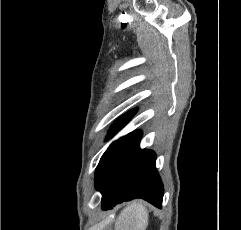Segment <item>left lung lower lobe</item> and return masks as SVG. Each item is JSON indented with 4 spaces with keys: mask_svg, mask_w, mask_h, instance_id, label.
Wrapping results in <instances>:
<instances>
[{
    "mask_svg": "<svg viewBox=\"0 0 241 230\" xmlns=\"http://www.w3.org/2000/svg\"><path fill=\"white\" fill-rule=\"evenodd\" d=\"M141 131L113 142L95 171V186L102 193L103 210L133 198H143L161 208L163 185L155 167V153L141 150Z\"/></svg>",
    "mask_w": 241,
    "mask_h": 230,
    "instance_id": "1",
    "label": "left lung lower lobe"
}]
</instances>
